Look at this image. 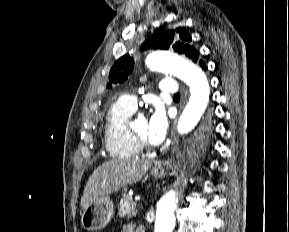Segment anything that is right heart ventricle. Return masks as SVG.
Instances as JSON below:
<instances>
[{"label": "right heart ventricle", "instance_id": "e07e8e85", "mask_svg": "<svg viewBox=\"0 0 289 232\" xmlns=\"http://www.w3.org/2000/svg\"><path fill=\"white\" fill-rule=\"evenodd\" d=\"M133 112L121 99L113 102L106 112L103 126L104 145L112 157L131 158L139 153L127 129V121Z\"/></svg>", "mask_w": 289, "mask_h": 232}]
</instances>
